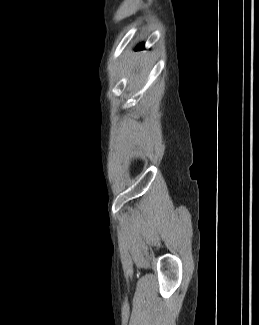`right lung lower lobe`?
<instances>
[{
    "instance_id": "obj_1",
    "label": "right lung lower lobe",
    "mask_w": 259,
    "mask_h": 325,
    "mask_svg": "<svg viewBox=\"0 0 259 325\" xmlns=\"http://www.w3.org/2000/svg\"><path fill=\"white\" fill-rule=\"evenodd\" d=\"M143 48L142 44L138 45L136 50H141Z\"/></svg>"
}]
</instances>
